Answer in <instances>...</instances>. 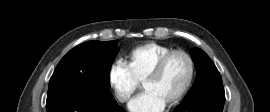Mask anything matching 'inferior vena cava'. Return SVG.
Listing matches in <instances>:
<instances>
[{"instance_id":"inferior-vena-cava-1","label":"inferior vena cava","mask_w":270,"mask_h":112,"mask_svg":"<svg viewBox=\"0 0 270 112\" xmlns=\"http://www.w3.org/2000/svg\"><path fill=\"white\" fill-rule=\"evenodd\" d=\"M120 101H126L127 100V97H122L119 99Z\"/></svg>"}]
</instances>
